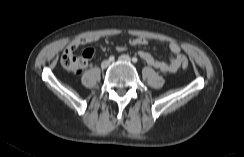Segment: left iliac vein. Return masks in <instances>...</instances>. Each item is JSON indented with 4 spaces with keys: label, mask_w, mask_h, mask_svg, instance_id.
<instances>
[{
    "label": "left iliac vein",
    "mask_w": 244,
    "mask_h": 157,
    "mask_svg": "<svg viewBox=\"0 0 244 157\" xmlns=\"http://www.w3.org/2000/svg\"><path fill=\"white\" fill-rule=\"evenodd\" d=\"M119 61H122V62H130L131 61V58L128 55H121L119 57Z\"/></svg>",
    "instance_id": "4c4485c4"
}]
</instances>
